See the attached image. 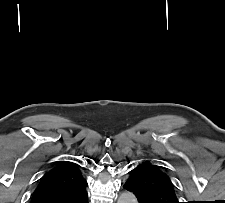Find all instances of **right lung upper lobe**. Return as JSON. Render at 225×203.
I'll return each mask as SVG.
<instances>
[{
    "label": "right lung upper lobe",
    "mask_w": 225,
    "mask_h": 203,
    "mask_svg": "<svg viewBox=\"0 0 225 203\" xmlns=\"http://www.w3.org/2000/svg\"><path fill=\"white\" fill-rule=\"evenodd\" d=\"M87 185L80 166L64 162L41 178L31 203H75L87 194Z\"/></svg>",
    "instance_id": "cb5924a9"
}]
</instances>
